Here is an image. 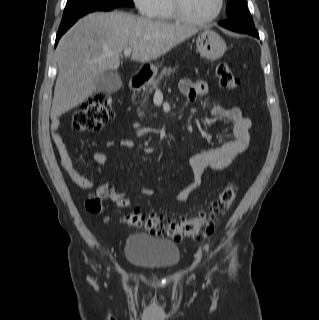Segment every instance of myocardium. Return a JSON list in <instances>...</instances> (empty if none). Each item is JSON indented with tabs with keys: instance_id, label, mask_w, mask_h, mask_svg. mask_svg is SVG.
I'll list each match as a JSON object with an SVG mask.
<instances>
[{
	"instance_id": "myocardium-1",
	"label": "myocardium",
	"mask_w": 319,
	"mask_h": 320,
	"mask_svg": "<svg viewBox=\"0 0 319 320\" xmlns=\"http://www.w3.org/2000/svg\"><path fill=\"white\" fill-rule=\"evenodd\" d=\"M170 3H171V10L175 19L186 24L203 25V24L211 23L219 18V16L221 15L224 9L225 0H218V7L215 13L203 19L193 18L190 15H188L182 6L181 0H170Z\"/></svg>"
}]
</instances>
